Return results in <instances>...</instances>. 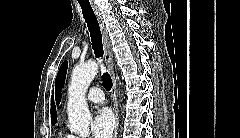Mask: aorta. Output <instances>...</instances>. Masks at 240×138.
I'll list each match as a JSON object with an SVG mask.
<instances>
[{
    "instance_id": "obj_1",
    "label": "aorta",
    "mask_w": 240,
    "mask_h": 138,
    "mask_svg": "<svg viewBox=\"0 0 240 138\" xmlns=\"http://www.w3.org/2000/svg\"><path fill=\"white\" fill-rule=\"evenodd\" d=\"M97 71L98 64L95 61L76 66L68 88L67 112L70 129L83 138L89 135L92 121L85 94Z\"/></svg>"
}]
</instances>
